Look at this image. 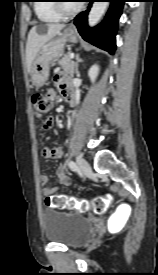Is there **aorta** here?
I'll use <instances>...</instances> for the list:
<instances>
[{"label":"aorta","mask_w":158,"mask_h":275,"mask_svg":"<svg viewBox=\"0 0 158 275\" xmlns=\"http://www.w3.org/2000/svg\"><path fill=\"white\" fill-rule=\"evenodd\" d=\"M108 7V2H94L88 15V24L90 27L95 26Z\"/></svg>","instance_id":"aorta-1"}]
</instances>
